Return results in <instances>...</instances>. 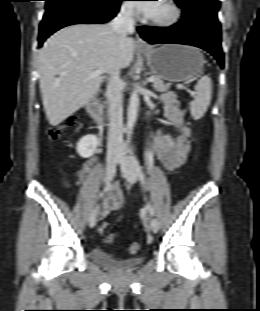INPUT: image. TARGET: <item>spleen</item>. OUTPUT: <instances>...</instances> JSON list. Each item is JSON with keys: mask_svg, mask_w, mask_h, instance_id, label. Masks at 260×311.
Instances as JSON below:
<instances>
[{"mask_svg": "<svg viewBox=\"0 0 260 311\" xmlns=\"http://www.w3.org/2000/svg\"><path fill=\"white\" fill-rule=\"evenodd\" d=\"M196 94L190 102L191 115L195 120L204 116L211 101L212 82L209 75L201 77L195 85Z\"/></svg>", "mask_w": 260, "mask_h": 311, "instance_id": "spleen-1", "label": "spleen"}]
</instances>
